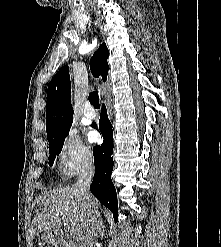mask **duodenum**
<instances>
[{"label": "duodenum", "instance_id": "obj_1", "mask_svg": "<svg viewBox=\"0 0 221 247\" xmlns=\"http://www.w3.org/2000/svg\"><path fill=\"white\" fill-rule=\"evenodd\" d=\"M51 237H52L54 245H56L58 247H72L71 244L67 243L64 240L62 233L59 231H52Z\"/></svg>", "mask_w": 221, "mask_h": 247}]
</instances>
